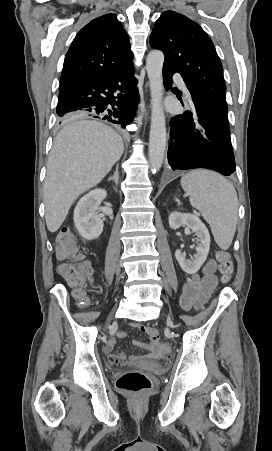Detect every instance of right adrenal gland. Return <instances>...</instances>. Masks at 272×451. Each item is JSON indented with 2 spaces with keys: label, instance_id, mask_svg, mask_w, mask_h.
Returning <instances> with one entry per match:
<instances>
[{
  "label": "right adrenal gland",
  "instance_id": "2a0ac1e0",
  "mask_svg": "<svg viewBox=\"0 0 272 451\" xmlns=\"http://www.w3.org/2000/svg\"><path fill=\"white\" fill-rule=\"evenodd\" d=\"M118 166H119V164H117V170H116V172H114V176H112V178H109V182H110V180H113V182H115L116 186H117V184H119Z\"/></svg>",
  "mask_w": 272,
  "mask_h": 451
}]
</instances>
